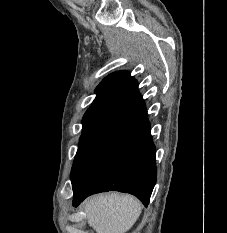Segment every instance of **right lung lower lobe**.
<instances>
[{
    "mask_svg": "<svg viewBox=\"0 0 227 233\" xmlns=\"http://www.w3.org/2000/svg\"><path fill=\"white\" fill-rule=\"evenodd\" d=\"M155 153L148 121L118 137L73 188V206L110 190L133 194L147 206L157 177Z\"/></svg>",
    "mask_w": 227,
    "mask_h": 233,
    "instance_id": "98d812e1",
    "label": "right lung lower lobe"
}]
</instances>
